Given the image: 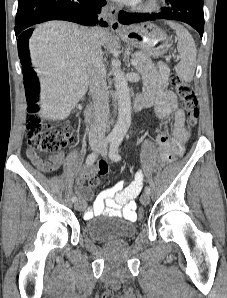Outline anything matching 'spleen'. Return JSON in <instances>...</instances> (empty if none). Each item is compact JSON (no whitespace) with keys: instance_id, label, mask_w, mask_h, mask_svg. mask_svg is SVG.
Listing matches in <instances>:
<instances>
[{"instance_id":"spleen-1","label":"spleen","mask_w":227,"mask_h":298,"mask_svg":"<svg viewBox=\"0 0 227 298\" xmlns=\"http://www.w3.org/2000/svg\"><path fill=\"white\" fill-rule=\"evenodd\" d=\"M167 23L175 30L178 40L177 50L180 55V62L176 66V73L182 80L190 82L196 68L197 50L194 39L189 31L179 23L173 21Z\"/></svg>"}]
</instances>
